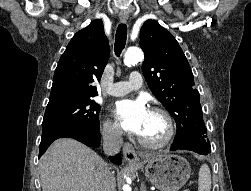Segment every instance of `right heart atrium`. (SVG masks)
Instances as JSON below:
<instances>
[{
  "label": "right heart atrium",
  "instance_id": "right-heart-atrium-1",
  "mask_svg": "<svg viewBox=\"0 0 251 191\" xmlns=\"http://www.w3.org/2000/svg\"><path fill=\"white\" fill-rule=\"evenodd\" d=\"M100 134L102 139L108 144H118L121 141L120 130L109 120L102 122Z\"/></svg>",
  "mask_w": 251,
  "mask_h": 191
}]
</instances>
